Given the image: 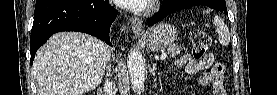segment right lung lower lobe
Returning <instances> with one entry per match:
<instances>
[{
	"instance_id": "right-lung-lower-lobe-1",
	"label": "right lung lower lobe",
	"mask_w": 277,
	"mask_h": 95,
	"mask_svg": "<svg viewBox=\"0 0 277 95\" xmlns=\"http://www.w3.org/2000/svg\"><path fill=\"white\" fill-rule=\"evenodd\" d=\"M117 14L109 0H37L30 37L31 64L38 48L56 32H84L112 46L109 32Z\"/></svg>"
}]
</instances>
